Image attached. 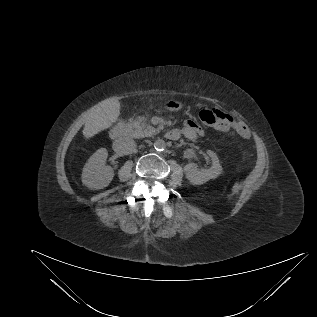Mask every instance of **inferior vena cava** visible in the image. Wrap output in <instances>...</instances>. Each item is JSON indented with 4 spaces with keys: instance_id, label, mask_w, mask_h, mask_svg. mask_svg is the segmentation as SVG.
Segmentation results:
<instances>
[{
    "instance_id": "inferior-vena-cava-1",
    "label": "inferior vena cava",
    "mask_w": 317,
    "mask_h": 317,
    "mask_svg": "<svg viewBox=\"0 0 317 317\" xmlns=\"http://www.w3.org/2000/svg\"><path fill=\"white\" fill-rule=\"evenodd\" d=\"M136 143L132 138H119L114 141L113 149L121 155L132 154L136 151Z\"/></svg>"
}]
</instances>
